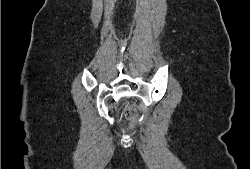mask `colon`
<instances>
[{"instance_id": "colon-1", "label": "colon", "mask_w": 250, "mask_h": 169, "mask_svg": "<svg viewBox=\"0 0 250 169\" xmlns=\"http://www.w3.org/2000/svg\"><path fill=\"white\" fill-rule=\"evenodd\" d=\"M133 101L127 100L126 102H121V111H123V115H125V120H132V116H134V120H139V115H135L136 111L134 106H131ZM139 122H130L129 123V131H135V127H139Z\"/></svg>"}]
</instances>
